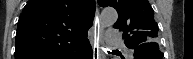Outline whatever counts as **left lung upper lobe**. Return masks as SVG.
Returning a JSON list of instances; mask_svg holds the SVG:
<instances>
[{
  "label": "left lung upper lobe",
  "instance_id": "5c2ea615",
  "mask_svg": "<svg viewBox=\"0 0 193 59\" xmlns=\"http://www.w3.org/2000/svg\"><path fill=\"white\" fill-rule=\"evenodd\" d=\"M98 4L117 10L118 20L114 28L124 31L123 37L128 48L135 49L142 44L158 46V25L147 0H98Z\"/></svg>",
  "mask_w": 193,
  "mask_h": 59
}]
</instances>
